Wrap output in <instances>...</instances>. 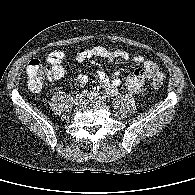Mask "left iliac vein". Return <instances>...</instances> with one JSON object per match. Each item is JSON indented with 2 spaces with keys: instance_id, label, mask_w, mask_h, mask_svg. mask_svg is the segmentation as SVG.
I'll return each instance as SVG.
<instances>
[{
  "instance_id": "left-iliac-vein-1",
  "label": "left iliac vein",
  "mask_w": 195,
  "mask_h": 195,
  "mask_svg": "<svg viewBox=\"0 0 195 195\" xmlns=\"http://www.w3.org/2000/svg\"><path fill=\"white\" fill-rule=\"evenodd\" d=\"M87 97L89 99H94V100H98V101H103V98L100 94H97V93H93V92H90L87 94Z\"/></svg>"
}]
</instances>
